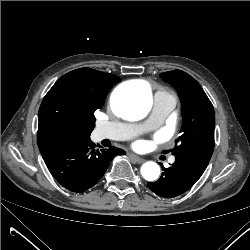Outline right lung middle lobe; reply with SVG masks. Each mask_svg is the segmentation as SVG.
<instances>
[{"label": "right lung middle lobe", "instance_id": "dd1d6c3e", "mask_svg": "<svg viewBox=\"0 0 250 250\" xmlns=\"http://www.w3.org/2000/svg\"><path fill=\"white\" fill-rule=\"evenodd\" d=\"M103 105H99V106H96V107H93L90 112H89V119H90V122H91V127L92 129L94 128L95 126V117H94V112L96 109H99L101 108Z\"/></svg>", "mask_w": 250, "mask_h": 250}]
</instances>
